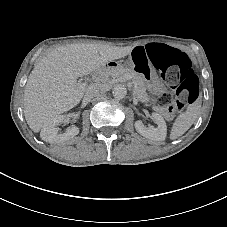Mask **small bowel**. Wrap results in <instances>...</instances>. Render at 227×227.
<instances>
[{
  "label": "small bowel",
  "mask_w": 227,
  "mask_h": 227,
  "mask_svg": "<svg viewBox=\"0 0 227 227\" xmlns=\"http://www.w3.org/2000/svg\"><path fill=\"white\" fill-rule=\"evenodd\" d=\"M133 52H139V53H141L143 56L146 57L147 62L150 63L149 60H148V56H147V45L139 46V47L135 48L133 50Z\"/></svg>",
  "instance_id": "c3829d8e"
}]
</instances>
